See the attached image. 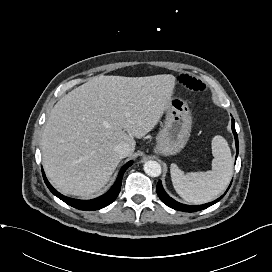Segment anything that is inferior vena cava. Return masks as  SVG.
<instances>
[{
  "label": "inferior vena cava",
  "mask_w": 272,
  "mask_h": 272,
  "mask_svg": "<svg viewBox=\"0 0 272 272\" xmlns=\"http://www.w3.org/2000/svg\"><path fill=\"white\" fill-rule=\"evenodd\" d=\"M114 151L119 155L120 158H125L130 154L131 149L127 143L122 142L114 147Z\"/></svg>",
  "instance_id": "1"
}]
</instances>
